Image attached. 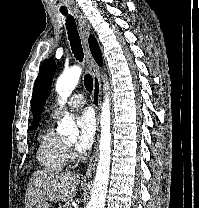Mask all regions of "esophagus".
Segmentation results:
<instances>
[{"label":"esophagus","instance_id":"34e87169","mask_svg":"<svg viewBox=\"0 0 199 208\" xmlns=\"http://www.w3.org/2000/svg\"><path fill=\"white\" fill-rule=\"evenodd\" d=\"M74 13H75V17L77 19V23L79 26L82 46L84 50V56L88 64L90 73L93 77L92 102H93L94 109L96 111L97 126H98V134H97V141L95 144V149H94L92 156L90 157L87 170L85 173V177L89 178L92 176V174L95 171V166H96V163L98 160V154H99L98 144H99V131H100L99 117H100V103H101V84H100V79L98 77V66L91 55L89 44H88V38L90 35V31H91L90 25L88 24L85 16H83V14L78 9H74Z\"/></svg>","mask_w":199,"mask_h":208}]
</instances>
